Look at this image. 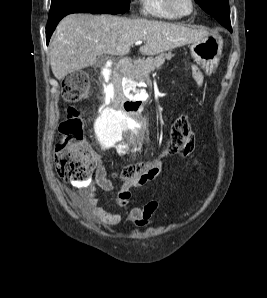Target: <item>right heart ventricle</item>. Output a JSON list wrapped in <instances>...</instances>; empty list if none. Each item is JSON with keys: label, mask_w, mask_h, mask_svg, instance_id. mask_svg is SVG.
Here are the masks:
<instances>
[{"label": "right heart ventricle", "mask_w": 267, "mask_h": 298, "mask_svg": "<svg viewBox=\"0 0 267 298\" xmlns=\"http://www.w3.org/2000/svg\"><path fill=\"white\" fill-rule=\"evenodd\" d=\"M140 14L144 17L160 20H175L178 17L165 6L164 0H139Z\"/></svg>", "instance_id": "obj_1"}]
</instances>
